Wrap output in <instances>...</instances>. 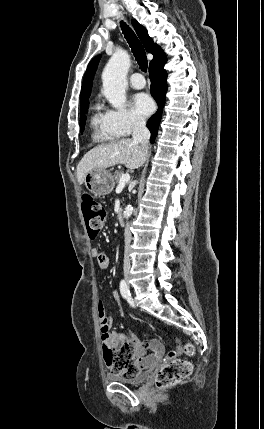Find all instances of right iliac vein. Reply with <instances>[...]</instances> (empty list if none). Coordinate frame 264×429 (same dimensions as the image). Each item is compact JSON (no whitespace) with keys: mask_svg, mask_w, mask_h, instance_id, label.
I'll list each match as a JSON object with an SVG mask.
<instances>
[{"mask_svg":"<svg viewBox=\"0 0 264 429\" xmlns=\"http://www.w3.org/2000/svg\"><path fill=\"white\" fill-rule=\"evenodd\" d=\"M124 276H125L126 281L128 282V280H129V273L125 272Z\"/></svg>","mask_w":264,"mask_h":429,"instance_id":"right-iliac-vein-1","label":"right iliac vein"}]
</instances>
